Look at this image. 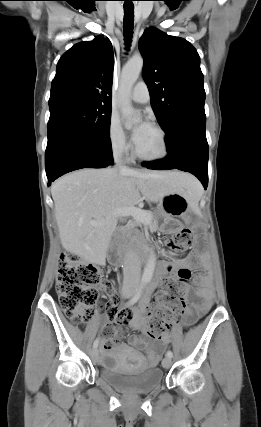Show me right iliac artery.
<instances>
[{
	"label": "right iliac artery",
	"mask_w": 261,
	"mask_h": 427,
	"mask_svg": "<svg viewBox=\"0 0 261 427\" xmlns=\"http://www.w3.org/2000/svg\"><path fill=\"white\" fill-rule=\"evenodd\" d=\"M145 285H146V281H142L137 292H136V294L127 302V306H131V305L135 304L140 299L142 290H143ZM98 344H99V339L97 338L93 343V347L97 348Z\"/></svg>",
	"instance_id": "obj_1"
}]
</instances>
